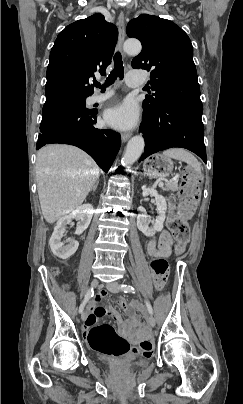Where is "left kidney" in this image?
Returning a JSON list of instances; mask_svg holds the SVG:
<instances>
[{"label": "left kidney", "mask_w": 243, "mask_h": 404, "mask_svg": "<svg viewBox=\"0 0 243 404\" xmlns=\"http://www.w3.org/2000/svg\"><path fill=\"white\" fill-rule=\"evenodd\" d=\"M142 196H144V198H146V196H154L159 216H157L152 228H149L151 220H149L145 208L140 206L138 210L139 212H142V214H138L137 216V228L140 232H143L144 236H154L156 232H161L164 228L163 224L165 222L167 210L166 200L164 196L158 194L155 188H146V186H142Z\"/></svg>", "instance_id": "obj_1"}]
</instances>
